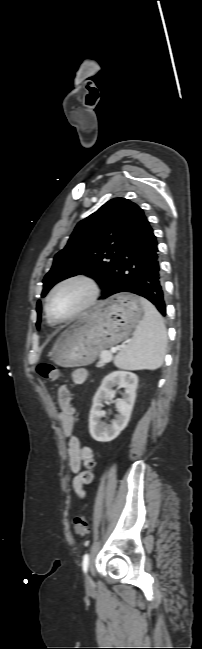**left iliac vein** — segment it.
Wrapping results in <instances>:
<instances>
[{"label": "left iliac vein", "mask_w": 202, "mask_h": 649, "mask_svg": "<svg viewBox=\"0 0 202 649\" xmlns=\"http://www.w3.org/2000/svg\"><path fill=\"white\" fill-rule=\"evenodd\" d=\"M85 586H86L87 590H92V588L94 586V582H93L92 578L89 575H86V577H85Z\"/></svg>", "instance_id": "4c4485c4"}]
</instances>
